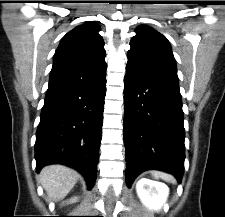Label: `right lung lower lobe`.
Returning <instances> with one entry per match:
<instances>
[{
  "label": "right lung lower lobe",
  "mask_w": 225,
  "mask_h": 217,
  "mask_svg": "<svg viewBox=\"0 0 225 217\" xmlns=\"http://www.w3.org/2000/svg\"><path fill=\"white\" fill-rule=\"evenodd\" d=\"M105 92L106 78L46 93L36 133L37 171L48 164H64L82 173L88 188H92L97 172Z\"/></svg>",
  "instance_id": "1"
}]
</instances>
